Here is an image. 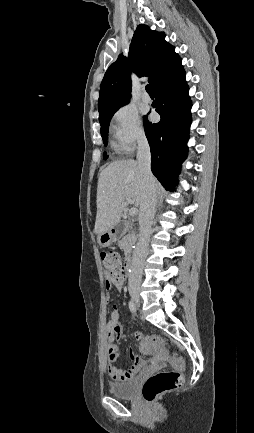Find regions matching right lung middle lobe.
Returning <instances> with one entry per match:
<instances>
[{
  "label": "right lung middle lobe",
  "mask_w": 254,
  "mask_h": 433,
  "mask_svg": "<svg viewBox=\"0 0 254 433\" xmlns=\"http://www.w3.org/2000/svg\"><path fill=\"white\" fill-rule=\"evenodd\" d=\"M118 109H119V108H118ZM118 109L109 112L108 114L105 115V118H104L101 122L99 121L100 124H101L100 132H101V136H102L103 143H104L105 146H107V134H108V126H109L110 120H111L113 114H114ZM107 157H108V156L106 155V153H104V159H107Z\"/></svg>",
  "instance_id": "dd1d6c3e"
}]
</instances>
